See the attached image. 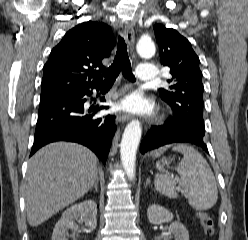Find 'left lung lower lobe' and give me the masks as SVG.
Here are the masks:
<instances>
[{"label": "left lung lower lobe", "instance_id": "0a47b994", "mask_svg": "<svg viewBox=\"0 0 248 240\" xmlns=\"http://www.w3.org/2000/svg\"><path fill=\"white\" fill-rule=\"evenodd\" d=\"M205 132L194 123H176L171 120L165 121L161 126H152L142 140L140 152L145 153L149 150L170 143H188L202 148L208 152L207 146L203 141Z\"/></svg>", "mask_w": 248, "mask_h": 240}]
</instances>
